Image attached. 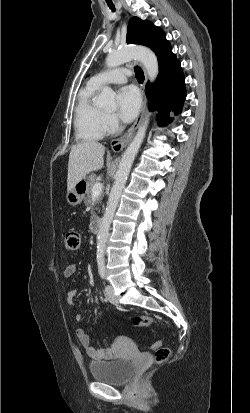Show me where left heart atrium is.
Wrapping results in <instances>:
<instances>
[{
    "label": "left heart atrium",
    "instance_id": "obj_1",
    "mask_svg": "<svg viewBox=\"0 0 250 413\" xmlns=\"http://www.w3.org/2000/svg\"><path fill=\"white\" fill-rule=\"evenodd\" d=\"M140 95L134 87H124L118 93V111L120 117L126 121H132L140 108Z\"/></svg>",
    "mask_w": 250,
    "mask_h": 413
}]
</instances>
